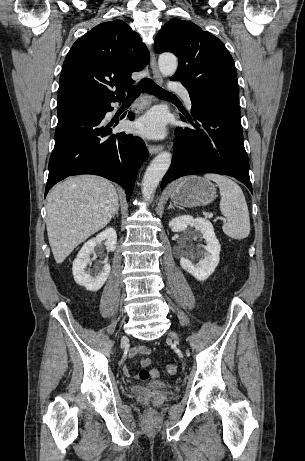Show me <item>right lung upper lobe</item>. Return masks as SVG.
Masks as SVG:
<instances>
[{
	"label": "right lung upper lobe",
	"instance_id": "obj_1",
	"mask_svg": "<svg viewBox=\"0 0 305 461\" xmlns=\"http://www.w3.org/2000/svg\"><path fill=\"white\" fill-rule=\"evenodd\" d=\"M148 61L145 44L125 22L97 25L73 44L65 58L58 108L123 98L124 90L134 84L131 73L142 70Z\"/></svg>",
	"mask_w": 305,
	"mask_h": 461
}]
</instances>
